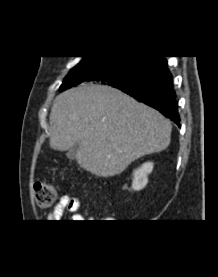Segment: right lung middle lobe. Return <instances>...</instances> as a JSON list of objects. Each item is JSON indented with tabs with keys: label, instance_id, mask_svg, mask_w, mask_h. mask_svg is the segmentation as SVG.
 I'll return each instance as SVG.
<instances>
[{
	"label": "right lung middle lobe",
	"instance_id": "dd1d6c3e",
	"mask_svg": "<svg viewBox=\"0 0 218 277\" xmlns=\"http://www.w3.org/2000/svg\"><path fill=\"white\" fill-rule=\"evenodd\" d=\"M156 60L154 56H84L63 80L60 91L76 86L88 73L116 87L127 84L148 69Z\"/></svg>",
	"mask_w": 218,
	"mask_h": 277
}]
</instances>
